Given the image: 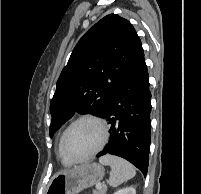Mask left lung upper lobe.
Returning <instances> with one entry per match:
<instances>
[{"label": "left lung upper lobe", "instance_id": "left-lung-upper-lobe-1", "mask_svg": "<svg viewBox=\"0 0 201 194\" xmlns=\"http://www.w3.org/2000/svg\"><path fill=\"white\" fill-rule=\"evenodd\" d=\"M141 49L132 24L117 14L107 15L91 27L57 81L50 103V137L75 112L101 116Z\"/></svg>", "mask_w": 201, "mask_h": 194}]
</instances>
